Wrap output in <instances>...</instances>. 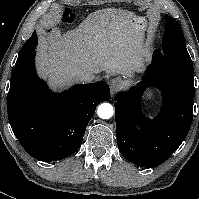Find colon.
<instances>
[{"instance_id":"1","label":"colon","mask_w":199,"mask_h":199,"mask_svg":"<svg viewBox=\"0 0 199 199\" xmlns=\"http://www.w3.org/2000/svg\"><path fill=\"white\" fill-rule=\"evenodd\" d=\"M63 20L66 21V22H71V16H70L69 12H64Z\"/></svg>"}]
</instances>
